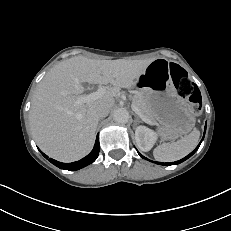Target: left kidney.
<instances>
[{"instance_id": "obj_1", "label": "left kidney", "mask_w": 231, "mask_h": 231, "mask_svg": "<svg viewBox=\"0 0 231 231\" xmlns=\"http://www.w3.org/2000/svg\"><path fill=\"white\" fill-rule=\"evenodd\" d=\"M156 138L155 132L145 126H138L135 130L136 144L144 152L149 151L153 147Z\"/></svg>"}]
</instances>
